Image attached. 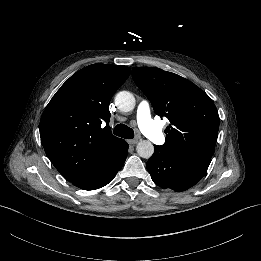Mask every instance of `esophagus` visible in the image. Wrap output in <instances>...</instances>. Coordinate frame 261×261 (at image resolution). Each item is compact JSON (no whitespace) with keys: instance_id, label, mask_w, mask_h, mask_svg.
<instances>
[{"instance_id":"1","label":"esophagus","mask_w":261,"mask_h":261,"mask_svg":"<svg viewBox=\"0 0 261 261\" xmlns=\"http://www.w3.org/2000/svg\"><path fill=\"white\" fill-rule=\"evenodd\" d=\"M129 144H137L138 142H139V140L138 139H130V140H128L127 141Z\"/></svg>"}]
</instances>
